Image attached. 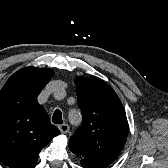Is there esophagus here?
Returning a JSON list of instances; mask_svg holds the SVG:
<instances>
[{
  "instance_id": "1",
  "label": "esophagus",
  "mask_w": 168,
  "mask_h": 168,
  "mask_svg": "<svg viewBox=\"0 0 168 168\" xmlns=\"http://www.w3.org/2000/svg\"><path fill=\"white\" fill-rule=\"evenodd\" d=\"M59 129L62 133H67L69 131V125L68 124H61L59 125Z\"/></svg>"
}]
</instances>
